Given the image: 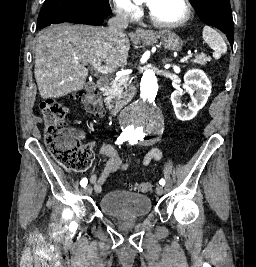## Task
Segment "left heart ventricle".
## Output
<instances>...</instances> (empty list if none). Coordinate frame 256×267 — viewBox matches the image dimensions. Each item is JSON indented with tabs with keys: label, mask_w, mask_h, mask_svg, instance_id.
<instances>
[{
	"label": "left heart ventricle",
	"mask_w": 256,
	"mask_h": 267,
	"mask_svg": "<svg viewBox=\"0 0 256 267\" xmlns=\"http://www.w3.org/2000/svg\"><path fill=\"white\" fill-rule=\"evenodd\" d=\"M184 15V11L176 3L169 1L157 16L158 22L164 26L174 21L180 20Z\"/></svg>",
	"instance_id": "obj_1"
}]
</instances>
